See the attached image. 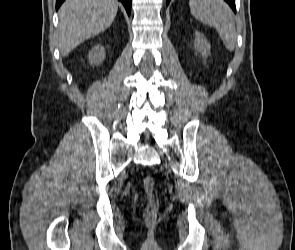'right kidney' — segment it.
Returning a JSON list of instances; mask_svg holds the SVG:
<instances>
[{
  "instance_id": "right-kidney-1",
  "label": "right kidney",
  "mask_w": 295,
  "mask_h": 250,
  "mask_svg": "<svg viewBox=\"0 0 295 250\" xmlns=\"http://www.w3.org/2000/svg\"><path fill=\"white\" fill-rule=\"evenodd\" d=\"M106 52L102 45H95L88 53L89 63L99 65L105 60Z\"/></svg>"
}]
</instances>
